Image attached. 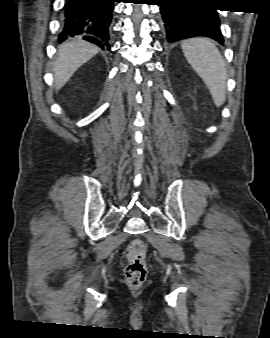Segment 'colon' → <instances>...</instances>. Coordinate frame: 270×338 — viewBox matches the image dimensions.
<instances>
[{"mask_svg": "<svg viewBox=\"0 0 270 338\" xmlns=\"http://www.w3.org/2000/svg\"><path fill=\"white\" fill-rule=\"evenodd\" d=\"M124 275L126 283L133 288L143 285L147 275L146 245L142 240L135 239L126 249Z\"/></svg>", "mask_w": 270, "mask_h": 338, "instance_id": "obj_1", "label": "colon"}]
</instances>
